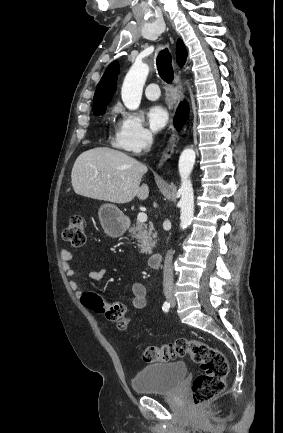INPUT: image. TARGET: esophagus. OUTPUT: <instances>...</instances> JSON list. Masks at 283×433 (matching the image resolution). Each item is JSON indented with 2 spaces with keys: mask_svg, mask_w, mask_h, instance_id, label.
I'll return each instance as SVG.
<instances>
[{
  "mask_svg": "<svg viewBox=\"0 0 283 433\" xmlns=\"http://www.w3.org/2000/svg\"><path fill=\"white\" fill-rule=\"evenodd\" d=\"M178 88H179V93H180V99L181 101H183L184 99V89H183V84L181 81V78L178 81ZM178 135H177V130L175 129V127L173 126L171 131H170V136H169V140L166 143V146L163 150L161 159L158 163V166L161 167L163 166V164L165 163V161L167 159L170 158V156L172 155L173 151H174V147L177 141Z\"/></svg>",
  "mask_w": 283,
  "mask_h": 433,
  "instance_id": "obj_1",
  "label": "esophagus"
}]
</instances>
